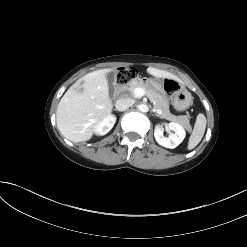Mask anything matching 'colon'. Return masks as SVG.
I'll return each mask as SVG.
<instances>
[{
	"label": "colon",
	"mask_w": 247,
	"mask_h": 247,
	"mask_svg": "<svg viewBox=\"0 0 247 247\" xmlns=\"http://www.w3.org/2000/svg\"><path fill=\"white\" fill-rule=\"evenodd\" d=\"M131 77H132L131 71L126 69H120L117 72L116 81L118 84H125L131 79Z\"/></svg>",
	"instance_id": "obj_1"
}]
</instances>
